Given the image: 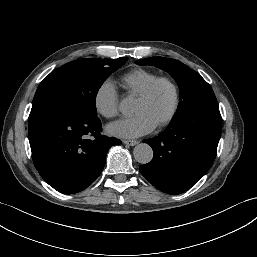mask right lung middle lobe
Wrapping results in <instances>:
<instances>
[{"label":"right lung middle lobe","instance_id":"1","mask_svg":"<svg viewBox=\"0 0 257 257\" xmlns=\"http://www.w3.org/2000/svg\"><path fill=\"white\" fill-rule=\"evenodd\" d=\"M127 61L87 58L72 61L51 72L40 83L33 111H58L82 117H97L96 95L103 82Z\"/></svg>","mask_w":257,"mask_h":257}]
</instances>
